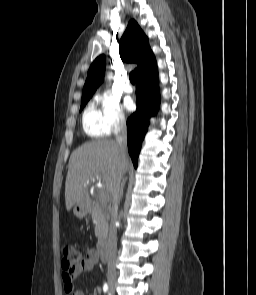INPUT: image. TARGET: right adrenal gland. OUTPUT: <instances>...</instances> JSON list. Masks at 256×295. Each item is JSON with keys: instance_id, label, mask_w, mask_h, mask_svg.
<instances>
[{"instance_id": "2a0ac1e0", "label": "right adrenal gland", "mask_w": 256, "mask_h": 295, "mask_svg": "<svg viewBox=\"0 0 256 295\" xmlns=\"http://www.w3.org/2000/svg\"><path fill=\"white\" fill-rule=\"evenodd\" d=\"M126 181H127V178H125V179L122 181V183H121L120 199H121L122 196H123L124 186H125Z\"/></svg>"}]
</instances>
